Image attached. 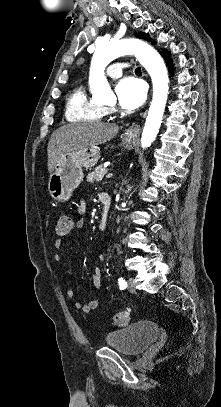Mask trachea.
Listing matches in <instances>:
<instances>
[{
	"mask_svg": "<svg viewBox=\"0 0 221 407\" xmlns=\"http://www.w3.org/2000/svg\"><path fill=\"white\" fill-rule=\"evenodd\" d=\"M135 73H141V68H140V67H137V68L135 69Z\"/></svg>",
	"mask_w": 221,
	"mask_h": 407,
	"instance_id": "3493384b",
	"label": "trachea"
}]
</instances>
